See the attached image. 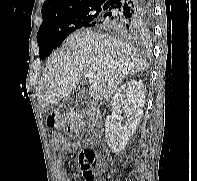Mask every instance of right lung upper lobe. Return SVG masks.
Here are the masks:
<instances>
[{
    "label": "right lung upper lobe",
    "mask_w": 197,
    "mask_h": 181,
    "mask_svg": "<svg viewBox=\"0 0 197 181\" xmlns=\"http://www.w3.org/2000/svg\"><path fill=\"white\" fill-rule=\"evenodd\" d=\"M107 1L108 0H46L42 7V18L84 6H103Z\"/></svg>",
    "instance_id": "right-lung-upper-lobe-1"
}]
</instances>
